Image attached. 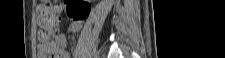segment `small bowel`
<instances>
[{
	"label": "small bowel",
	"instance_id": "c3829d8e",
	"mask_svg": "<svg viewBox=\"0 0 225 58\" xmlns=\"http://www.w3.org/2000/svg\"><path fill=\"white\" fill-rule=\"evenodd\" d=\"M82 21H71L67 28V33H76L81 29ZM67 41L65 33H55L52 39L48 42H41L38 44L39 58H70L69 53L64 49Z\"/></svg>",
	"mask_w": 225,
	"mask_h": 58
}]
</instances>
